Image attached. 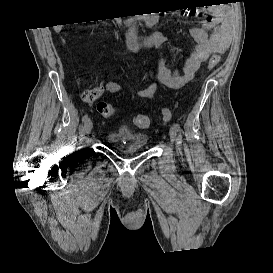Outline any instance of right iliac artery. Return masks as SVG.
<instances>
[{
    "mask_svg": "<svg viewBox=\"0 0 273 273\" xmlns=\"http://www.w3.org/2000/svg\"><path fill=\"white\" fill-rule=\"evenodd\" d=\"M88 120V114H85L84 116H83V118H82V121L83 122H86Z\"/></svg>",
    "mask_w": 273,
    "mask_h": 273,
    "instance_id": "obj_1",
    "label": "right iliac artery"
}]
</instances>
